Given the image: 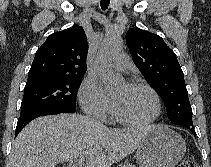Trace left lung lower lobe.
<instances>
[{
  "label": "left lung lower lobe",
  "instance_id": "left-lung-lower-lobe-1",
  "mask_svg": "<svg viewBox=\"0 0 211 167\" xmlns=\"http://www.w3.org/2000/svg\"><path fill=\"white\" fill-rule=\"evenodd\" d=\"M184 127L187 128L188 130H190L193 133L194 137H196L193 126H184Z\"/></svg>",
  "mask_w": 211,
  "mask_h": 167
}]
</instances>
